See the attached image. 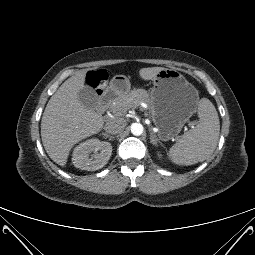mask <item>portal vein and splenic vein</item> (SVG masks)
<instances>
[{
  "instance_id": "portal-vein-and-splenic-vein-1",
  "label": "portal vein and splenic vein",
  "mask_w": 255,
  "mask_h": 255,
  "mask_svg": "<svg viewBox=\"0 0 255 255\" xmlns=\"http://www.w3.org/2000/svg\"><path fill=\"white\" fill-rule=\"evenodd\" d=\"M194 125H195V122H191V123L189 124V126H191L192 128L194 127Z\"/></svg>"
}]
</instances>
